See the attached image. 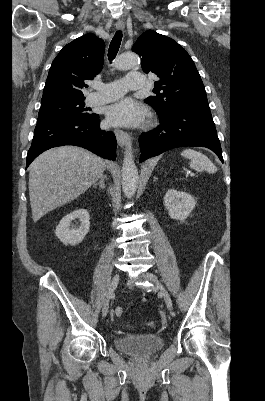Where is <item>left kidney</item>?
I'll return each mask as SVG.
<instances>
[{"mask_svg": "<svg viewBox=\"0 0 265 401\" xmlns=\"http://www.w3.org/2000/svg\"><path fill=\"white\" fill-rule=\"evenodd\" d=\"M164 203L171 219L185 221L196 205V198L189 192L169 188L164 196Z\"/></svg>", "mask_w": 265, "mask_h": 401, "instance_id": "5707ae66", "label": "left kidney"}]
</instances>
